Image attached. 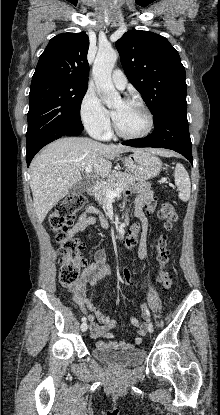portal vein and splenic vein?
I'll use <instances>...</instances> for the list:
<instances>
[{"mask_svg": "<svg viewBox=\"0 0 220 415\" xmlns=\"http://www.w3.org/2000/svg\"><path fill=\"white\" fill-rule=\"evenodd\" d=\"M85 171H86V173H91L92 172V166L91 165L86 166ZM122 191H123V188H121V187H117L114 190H112L110 188H106L105 193H106V197L114 198L118 194H120Z\"/></svg>", "mask_w": 220, "mask_h": 415, "instance_id": "18ae733b", "label": "portal vein and splenic vein"}]
</instances>
